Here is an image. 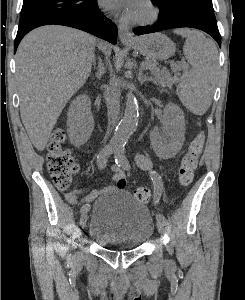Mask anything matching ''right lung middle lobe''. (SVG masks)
Listing matches in <instances>:
<instances>
[{
	"instance_id": "right-lung-middle-lobe-1",
	"label": "right lung middle lobe",
	"mask_w": 245,
	"mask_h": 300,
	"mask_svg": "<svg viewBox=\"0 0 245 300\" xmlns=\"http://www.w3.org/2000/svg\"><path fill=\"white\" fill-rule=\"evenodd\" d=\"M96 5V0H24L19 27L62 14L84 13Z\"/></svg>"
}]
</instances>
